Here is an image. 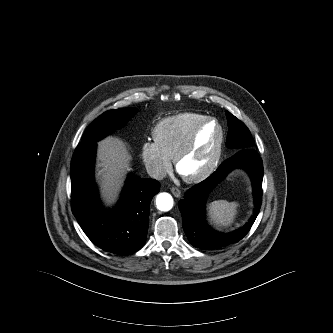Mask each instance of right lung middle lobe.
<instances>
[{"label": "right lung middle lobe", "mask_w": 333, "mask_h": 333, "mask_svg": "<svg viewBox=\"0 0 333 333\" xmlns=\"http://www.w3.org/2000/svg\"><path fill=\"white\" fill-rule=\"evenodd\" d=\"M136 112V108H121L103 113L88 127L81 144L96 143L98 140L126 123Z\"/></svg>", "instance_id": "1"}]
</instances>
